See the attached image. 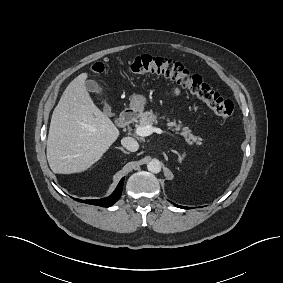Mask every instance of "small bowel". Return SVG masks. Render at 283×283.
I'll use <instances>...</instances> for the list:
<instances>
[{"mask_svg": "<svg viewBox=\"0 0 283 283\" xmlns=\"http://www.w3.org/2000/svg\"><path fill=\"white\" fill-rule=\"evenodd\" d=\"M169 94L172 96H178L180 94V90L178 88H174L169 92Z\"/></svg>", "mask_w": 283, "mask_h": 283, "instance_id": "small-bowel-1", "label": "small bowel"}]
</instances>
